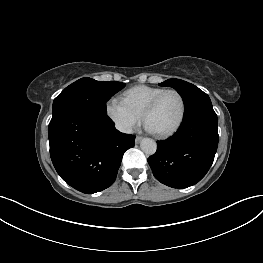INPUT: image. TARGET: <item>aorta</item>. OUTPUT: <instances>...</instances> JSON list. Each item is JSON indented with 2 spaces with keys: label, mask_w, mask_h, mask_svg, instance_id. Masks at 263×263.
Returning a JSON list of instances; mask_svg holds the SVG:
<instances>
[{
  "label": "aorta",
  "mask_w": 263,
  "mask_h": 263,
  "mask_svg": "<svg viewBox=\"0 0 263 263\" xmlns=\"http://www.w3.org/2000/svg\"><path fill=\"white\" fill-rule=\"evenodd\" d=\"M141 150L147 155H153L156 152L157 144L151 138H144L140 143Z\"/></svg>",
  "instance_id": "obj_1"
}]
</instances>
